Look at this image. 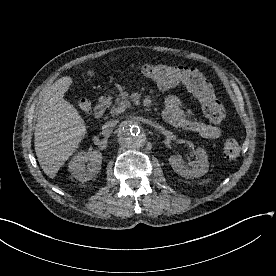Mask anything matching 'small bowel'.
<instances>
[{"instance_id": "small-bowel-1", "label": "small bowel", "mask_w": 276, "mask_h": 276, "mask_svg": "<svg viewBox=\"0 0 276 276\" xmlns=\"http://www.w3.org/2000/svg\"><path fill=\"white\" fill-rule=\"evenodd\" d=\"M163 118L172 126L194 132L206 139H217L221 135L218 126L197 119L183 107L181 100L173 95L166 99Z\"/></svg>"}]
</instances>
